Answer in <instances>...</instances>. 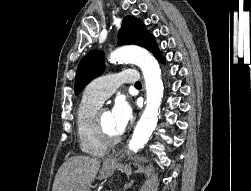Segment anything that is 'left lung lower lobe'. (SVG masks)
Listing matches in <instances>:
<instances>
[{"label":"left lung lower lobe","instance_id":"left-lung-lower-lobe-1","mask_svg":"<svg viewBox=\"0 0 251 191\" xmlns=\"http://www.w3.org/2000/svg\"><path fill=\"white\" fill-rule=\"evenodd\" d=\"M156 58L158 59V61L164 62V58H162L160 54Z\"/></svg>","mask_w":251,"mask_h":191}]
</instances>
